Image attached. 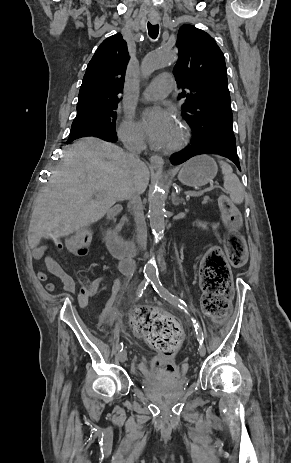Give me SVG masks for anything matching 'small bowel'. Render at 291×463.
Instances as JSON below:
<instances>
[{"label":"small bowel","mask_w":291,"mask_h":463,"mask_svg":"<svg viewBox=\"0 0 291 463\" xmlns=\"http://www.w3.org/2000/svg\"><path fill=\"white\" fill-rule=\"evenodd\" d=\"M58 251H62L64 248V244L60 241H55L54 242ZM65 246L67 249L70 250L69 248V238L65 240ZM90 245L88 244L84 249L81 251H71L73 254L82 256L87 254L89 251ZM33 257L35 259H40L44 257V262L47 271L58 278L60 282L63 285L64 290L67 293L74 294L76 291V284L74 279L66 273V271L63 269V267L60 265V263L51 255H45V248L43 246L35 245L33 247ZM118 262H119V269L122 272V274L129 276L133 273L134 270V262L129 256H123V257H118ZM37 277L40 281L44 282L47 280V274L43 271H39L37 274ZM122 280L121 279H116L113 287H112V295L110 300L107 302L105 307L102 309L100 314L97 316V323L98 324H103L109 321L112 317V306L113 302L116 298L117 293L122 287ZM46 289L49 292H53L55 290V284L52 282H48L45 285ZM87 292L85 289H81L80 292L77 295V300L80 305V307L84 308L88 305V296Z\"/></svg>","instance_id":"c3829d8e"}]
</instances>
